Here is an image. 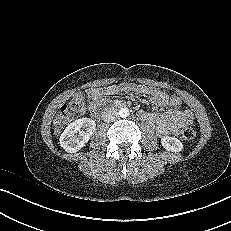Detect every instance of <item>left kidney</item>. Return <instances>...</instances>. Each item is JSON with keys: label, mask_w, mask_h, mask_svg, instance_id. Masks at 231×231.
<instances>
[{"label": "left kidney", "mask_w": 231, "mask_h": 231, "mask_svg": "<svg viewBox=\"0 0 231 231\" xmlns=\"http://www.w3.org/2000/svg\"><path fill=\"white\" fill-rule=\"evenodd\" d=\"M162 146L170 152H180L183 149L181 141L175 137L164 136L161 138Z\"/></svg>", "instance_id": "left-kidney-1"}]
</instances>
